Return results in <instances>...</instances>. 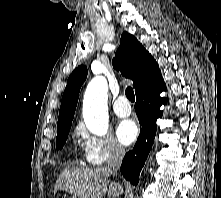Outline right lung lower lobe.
Returning <instances> with one entry per match:
<instances>
[{
    "label": "right lung lower lobe",
    "instance_id": "right-lung-lower-lobe-1",
    "mask_svg": "<svg viewBox=\"0 0 221 198\" xmlns=\"http://www.w3.org/2000/svg\"><path fill=\"white\" fill-rule=\"evenodd\" d=\"M165 90L164 80L159 74L136 93L135 111L140 123V135L134 148L125 155L120 168L122 175L134 185L139 182L140 171L152 148L156 120L163 115L159 107L166 103V99L159 94Z\"/></svg>",
    "mask_w": 221,
    "mask_h": 198
}]
</instances>
